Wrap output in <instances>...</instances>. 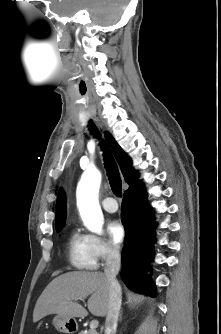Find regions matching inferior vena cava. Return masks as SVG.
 Returning a JSON list of instances; mask_svg holds the SVG:
<instances>
[{
    "label": "inferior vena cava",
    "instance_id": "1",
    "mask_svg": "<svg viewBox=\"0 0 221 334\" xmlns=\"http://www.w3.org/2000/svg\"><path fill=\"white\" fill-rule=\"evenodd\" d=\"M120 252L117 247H108V256L104 267V274L109 282V307L105 321V333L112 334L116 331L119 311L121 307V286L116 276L120 269Z\"/></svg>",
    "mask_w": 221,
    "mask_h": 334
}]
</instances>
